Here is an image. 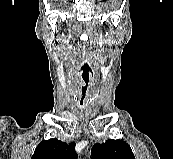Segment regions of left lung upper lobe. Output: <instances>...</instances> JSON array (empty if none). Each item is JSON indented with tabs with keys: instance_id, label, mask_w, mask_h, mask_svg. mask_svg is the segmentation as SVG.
I'll use <instances>...</instances> for the list:
<instances>
[{
	"instance_id": "1",
	"label": "left lung upper lobe",
	"mask_w": 173,
	"mask_h": 159,
	"mask_svg": "<svg viewBox=\"0 0 173 159\" xmlns=\"http://www.w3.org/2000/svg\"><path fill=\"white\" fill-rule=\"evenodd\" d=\"M92 159H135L130 146L122 140L109 139L91 148Z\"/></svg>"
}]
</instances>
